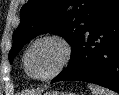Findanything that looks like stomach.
Returning <instances> with one entry per match:
<instances>
[{"label":"stomach","mask_w":119,"mask_h":95,"mask_svg":"<svg viewBox=\"0 0 119 95\" xmlns=\"http://www.w3.org/2000/svg\"><path fill=\"white\" fill-rule=\"evenodd\" d=\"M44 95H74L72 93H63V92H46Z\"/></svg>","instance_id":"0dacf381"}]
</instances>
